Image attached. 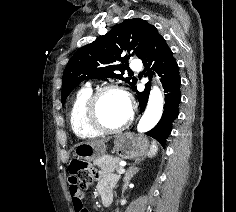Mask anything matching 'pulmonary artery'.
Wrapping results in <instances>:
<instances>
[{
  "label": "pulmonary artery",
  "instance_id": "obj_1",
  "mask_svg": "<svg viewBox=\"0 0 236 212\" xmlns=\"http://www.w3.org/2000/svg\"><path fill=\"white\" fill-rule=\"evenodd\" d=\"M130 67H131V69H133V70H140V69H141V64H140V62L137 61V60H132V61L130 62Z\"/></svg>",
  "mask_w": 236,
  "mask_h": 212
}]
</instances>
